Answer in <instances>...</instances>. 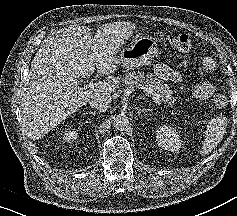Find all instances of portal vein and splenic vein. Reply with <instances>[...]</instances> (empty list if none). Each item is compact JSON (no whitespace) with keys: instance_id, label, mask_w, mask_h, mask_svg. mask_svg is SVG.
Returning <instances> with one entry per match:
<instances>
[{"instance_id":"portal-vein-and-splenic-vein-1","label":"portal vein and splenic vein","mask_w":237,"mask_h":216,"mask_svg":"<svg viewBox=\"0 0 237 216\" xmlns=\"http://www.w3.org/2000/svg\"><path fill=\"white\" fill-rule=\"evenodd\" d=\"M89 87L92 89H96V88H102V87H106L108 89V91H114V89L116 88L115 85H110L109 83H103V82H98V83H90Z\"/></svg>"}]
</instances>
